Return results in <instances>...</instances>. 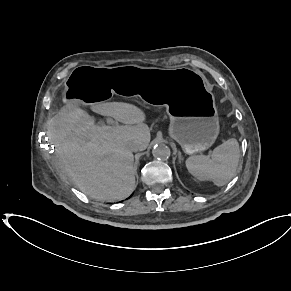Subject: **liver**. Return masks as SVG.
I'll return each instance as SVG.
<instances>
[{"mask_svg":"<svg viewBox=\"0 0 291 291\" xmlns=\"http://www.w3.org/2000/svg\"><path fill=\"white\" fill-rule=\"evenodd\" d=\"M90 106L92 111L124 125L98 126L86 111L67 103L52 119L49 132L58 164L89 197L123 200L135 189L134 156L128 147L136 144L143 151L150 142L145 114L124 102H97Z\"/></svg>","mask_w":291,"mask_h":291,"instance_id":"6515ba94","label":"liver"}]
</instances>
